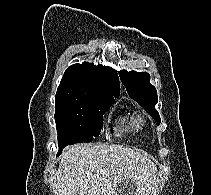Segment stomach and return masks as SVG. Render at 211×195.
<instances>
[{
	"mask_svg": "<svg viewBox=\"0 0 211 195\" xmlns=\"http://www.w3.org/2000/svg\"><path fill=\"white\" fill-rule=\"evenodd\" d=\"M129 185H130V182H129V181H124V182H122V184H121L122 188H126V187L129 186ZM135 193H136V189L133 190V194H134V195H136Z\"/></svg>",
	"mask_w": 211,
	"mask_h": 195,
	"instance_id": "obj_1",
	"label": "stomach"
}]
</instances>
